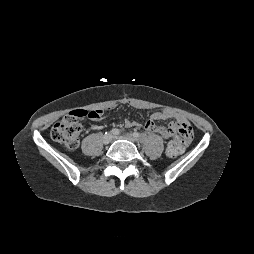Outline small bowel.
Masks as SVG:
<instances>
[{
	"instance_id": "c3829d8e",
	"label": "small bowel",
	"mask_w": 254,
	"mask_h": 254,
	"mask_svg": "<svg viewBox=\"0 0 254 254\" xmlns=\"http://www.w3.org/2000/svg\"><path fill=\"white\" fill-rule=\"evenodd\" d=\"M103 115H104V111H100L99 118L103 117ZM99 118H96V119H99ZM171 118H174L175 120L172 121L168 126H161L156 123L157 121L167 120ZM124 124L126 127H134L138 125L135 121L130 119H126ZM181 124H187L184 117H182L179 114H174L172 111L168 109H163V110L154 112L151 115L150 119L145 123L144 127L147 131L157 133L164 138H171L177 132V126ZM186 146L187 145L184 146L183 150L185 149Z\"/></svg>"
}]
</instances>
